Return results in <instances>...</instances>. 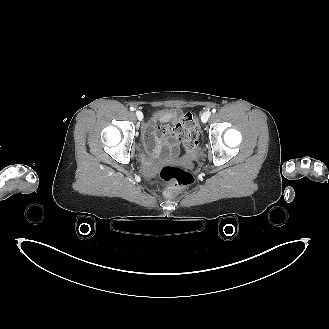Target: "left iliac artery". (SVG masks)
<instances>
[{
  "mask_svg": "<svg viewBox=\"0 0 329 329\" xmlns=\"http://www.w3.org/2000/svg\"><path fill=\"white\" fill-rule=\"evenodd\" d=\"M216 112V109L214 108V109H212V113H215Z\"/></svg>",
  "mask_w": 329,
  "mask_h": 329,
  "instance_id": "1",
  "label": "left iliac artery"
}]
</instances>
